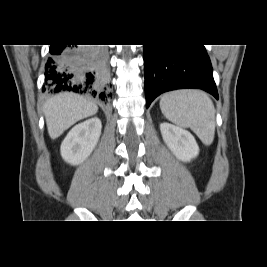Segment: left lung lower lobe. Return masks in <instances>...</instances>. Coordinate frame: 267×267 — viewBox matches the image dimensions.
I'll return each mask as SVG.
<instances>
[{
  "label": "left lung lower lobe",
  "instance_id": "1",
  "mask_svg": "<svg viewBox=\"0 0 267 267\" xmlns=\"http://www.w3.org/2000/svg\"><path fill=\"white\" fill-rule=\"evenodd\" d=\"M146 107L161 93L199 88L218 99L204 45H144Z\"/></svg>",
  "mask_w": 267,
  "mask_h": 267
}]
</instances>
